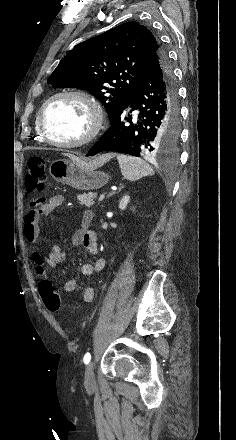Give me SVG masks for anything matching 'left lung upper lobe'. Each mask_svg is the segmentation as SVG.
Here are the masks:
<instances>
[{
  "label": "left lung upper lobe",
  "instance_id": "5c2ea615",
  "mask_svg": "<svg viewBox=\"0 0 236 440\" xmlns=\"http://www.w3.org/2000/svg\"><path fill=\"white\" fill-rule=\"evenodd\" d=\"M165 53L138 22H127L76 45L47 82L54 88L87 90L104 105L110 121L138 86L151 59Z\"/></svg>",
  "mask_w": 236,
  "mask_h": 440
}]
</instances>
